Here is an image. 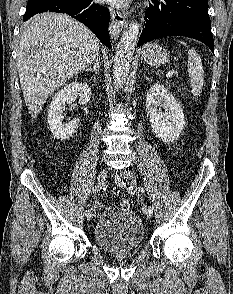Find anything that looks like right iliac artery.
<instances>
[{"mask_svg":"<svg viewBox=\"0 0 233 294\" xmlns=\"http://www.w3.org/2000/svg\"><path fill=\"white\" fill-rule=\"evenodd\" d=\"M100 190L99 186H95L93 188V193H97ZM91 210H86L85 215L88 216L90 214Z\"/></svg>","mask_w":233,"mask_h":294,"instance_id":"right-iliac-artery-1","label":"right iliac artery"}]
</instances>
